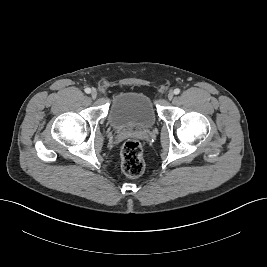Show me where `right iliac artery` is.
<instances>
[{"label":"right iliac artery","instance_id":"82829eb1","mask_svg":"<svg viewBox=\"0 0 267 267\" xmlns=\"http://www.w3.org/2000/svg\"><path fill=\"white\" fill-rule=\"evenodd\" d=\"M85 92H86L87 94H89V93L91 92V89H90V88H85Z\"/></svg>","mask_w":267,"mask_h":267}]
</instances>
